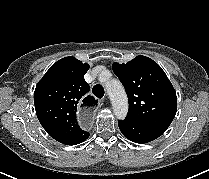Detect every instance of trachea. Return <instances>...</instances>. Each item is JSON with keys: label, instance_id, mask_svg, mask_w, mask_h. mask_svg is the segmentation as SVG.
Returning <instances> with one entry per match:
<instances>
[{"label": "trachea", "instance_id": "3493384b", "mask_svg": "<svg viewBox=\"0 0 209 179\" xmlns=\"http://www.w3.org/2000/svg\"><path fill=\"white\" fill-rule=\"evenodd\" d=\"M92 92L93 94L98 97V98H102L104 96V89L101 85H95L93 88H92Z\"/></svg>", "mask_w": 209, "mask_h": 179}]
</instances>
